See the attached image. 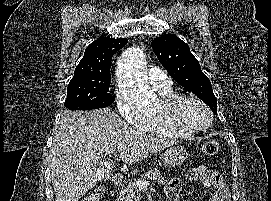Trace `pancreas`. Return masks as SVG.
Here are the masks:
<instances>
[{
	"label": "pancreas",
	"instance_id": "pancreas-1",
	"mask_svg": "<svg viewBox=\"0 0 271 201\" xmlns=\"http://www.w3.org/2000/svg\"><path fill=\"white\" fill-rule=\"evenodd\" d=\"M147 178L152 179L161 185H164L166 182L159 170H150L138 179H134L133 181L129 180L127 182V186L121 190L115 201H140L141 194L139 188L136 186V183L138 181H146Z\"/></svg>",
	"mask_w": 271,
	"mask_h": 201
}]
</instances>
